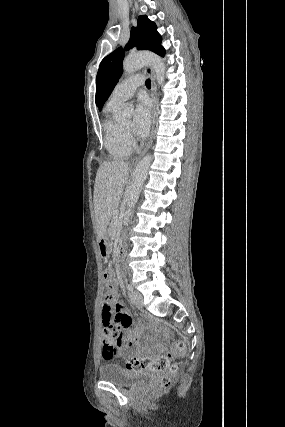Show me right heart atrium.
Instances as JSON below:
<instances>
[{"mask_svg":"<svg viewBox=\"0 0 285 427\" xmlns=\"http://www.w3.org/2000/svg\"><path fill=\"white\" fill-rule=\"evenodd\" d=\"M127 138L129 140V142L132 144L133 143V138L130 134H127Z\"/></svg>","mask_w":285,"mask_h":427,"instance_id":"1","label":"right heart atrium"}]
</instances>
